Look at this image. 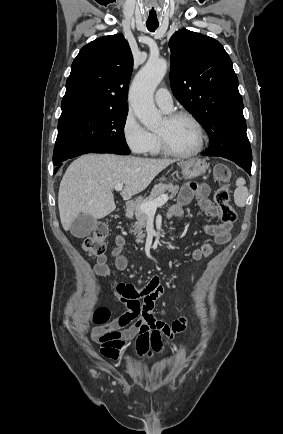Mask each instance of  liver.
I'll use <instances>...</instances> for the list:
<instances>
[{
  "label": "liver",
  "mask_w": 283,
  "mask_h": 434,
  "mask_svg": "<svg viewBox=\"0 0 283 434\" xmlns=\"http://www.w3.org/2000/svg\"><path fill=\"white\" fill-rule=\"evenodd\" d=\"M172 159H147L114 154H86L67 168L59 187L58 208L65 231L80 215L104 218L116 208L113 188L124 184L121 192L129 198L145 190Z\"/></svg>",
  "instance_id": "liver-1"
}]
</instances>
